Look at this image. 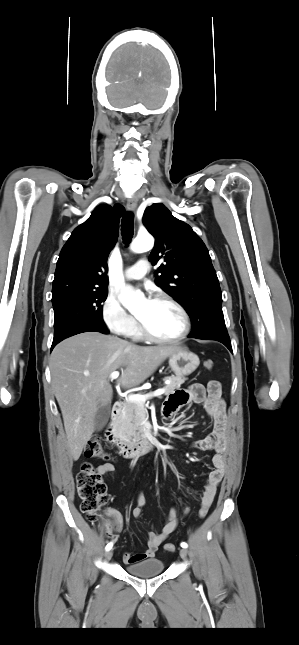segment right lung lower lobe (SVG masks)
<instances>
[{
  "mask_svg": "<svg viewBox=\"0 0 299 645\" xmlns=\"http://www.w3.org/2000/svg\"><path fill=\"white\" fill-rule=\"evenodd\" d=\"M91 331L108 334V330L106 328L96 327V326H92V325L80 326L78 328H75V329L67 332L66 334H64L60 338L54 339L51 349H53L57 343H59L60 341H62L63 339H65L67 337H70V336H73V335H76V334H79V333L91 332Z\"/></svg>",
  "mask_w": 299,
  "mask_h": 645,
  "instance_id": "1",
  "label": "right lung lower lobe"
}]
</instances>
